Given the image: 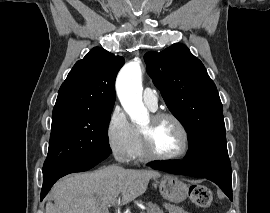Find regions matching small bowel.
<instances>
[{"label":"small bowel","instance_id":"small-bowel-1","mask_svg":"<svg viewBox=\"0 0 270 213\" xmlns=\"http://www.w3.org/2000/svg\"><path fill=\"white\" fill-rule=\"evenodd\" d=\"M166 210L168 213H191L181 207L173 206V205H168L166 207Z\"/></svg>","mask_w":270,"mask_h":213}]
</instances>
